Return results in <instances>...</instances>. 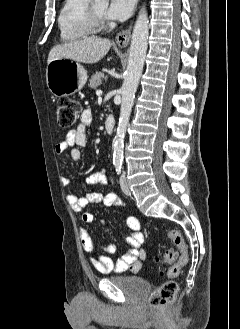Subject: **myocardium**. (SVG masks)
<instances>
[{
  "mask_svg": "<svg viewBox=\"0 0 240 329\" xmlns=\"http://www.w3.org/2000/svg\"><path fill=\"white\" fill-rule=\"evenodd\" d=\"M87 16L91 27L95 31L108 29L111 26L106 18L97 12L92 3L89 4Z\"/></svg>",
  "mask_w": 240,
  "mask_h": 329,
  "instance_id": "1",
  "label": "myocardium"
}]
</instances>
